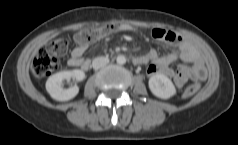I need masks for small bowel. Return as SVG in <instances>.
<instances>
[{"label":"small bowel","mask_w":238,"mask_h":145,"mask_svg":"<svg viewBox=\"0 0 238 145\" xmlns=\"http://www.w3.org/2000/svg\"><path fill=\"white\" fill-rule=\"evenodd\" d=\"M117 30L125 32H137V28L127 24L120 23ZM149 37L156 41H165L174 44L175 48L169 53L160 55L156 50L151 49L144 55L137 56L138 65L148 64L146 73L149 76L158 74L172 77L176 87H183L188 80L200 81L205 79L207 70L202 57L190 43L182 39V34L171 28L152 27L149 30ZM85 47L76 46L68 59V65L87 70L90 61L83 57ZM180 57L183 61L191 64L190 67L182 66L177 71H173L171 64Z\"/></svg>","instance_id":"1"}]
</instances>
